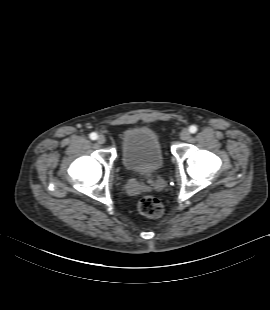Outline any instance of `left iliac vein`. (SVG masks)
Masks as SVG:
<instances>
[{"label":"left iliac vein","mask_w":270,"mask_h":310,"mask_svg":"<svg viewBox=\"0 0 270 310\" xmlns=\"http://www.w3.org/2000/svg\"><path fill=\"white\" fill-rule=\"evenodd\" d=\"M190 138V132L188 129H183L181 132H180V139L181 140H187Z\"/></svg>","instance_id":"1"}]
</instances>
